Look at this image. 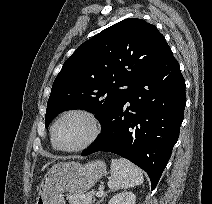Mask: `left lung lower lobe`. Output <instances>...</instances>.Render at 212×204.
Segmentation results:
<instances>
[{"label":"left lung lower lobe","instance_id":"obj_1","mask_svg":"<svg viewBox=\"0 0 212 204\" xmlns=\"http://www.w3.org/2000/svg\"><path fill=\"white\" fill-rule=\"evenodd\" d=\"M185 104V80L169 49L101 122V134L81 155L118 154L148 173L153 190L179 137Z\"/></svg>","mask_w":212,"mask_h":204}]
</instances>
